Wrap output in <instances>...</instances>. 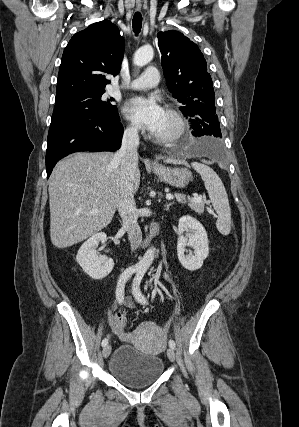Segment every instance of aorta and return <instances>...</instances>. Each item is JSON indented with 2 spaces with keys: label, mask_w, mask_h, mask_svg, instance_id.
<instances>
[{
  "label": "aorta",
  "mask_w": 299,
  "mask_h": 427,
  "mask_svg": "<svg viewBox=\"0 0 299 427\" xmlns=\"http://www.w3.org/2000/svg\"><path fill=\"white\" fill-rule=\"evenodd\" d=\"M154 51L150 45L142 46L139 48L135 54L133 62L138 67H143L148 64L153 59ZM155 256V248L150 247L143 258L139 262V267L143 270H147L152 264Z\"/></svg>",
  "instance_id": "762f6f07"
}]
</instances>
